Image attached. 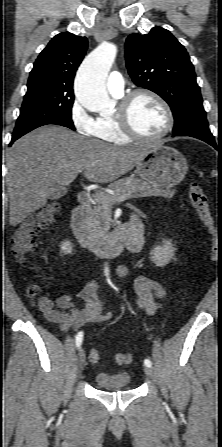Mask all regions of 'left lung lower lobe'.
I'll return each instance as SVG.
<instances>
[{"instance_id":"0a47b994","label":"left lung lower lobe","mask_w":222,"mask_h":447,"mask_svg":"<svg viewBox=\"0 0 222 447\" xmlns=\"http://www.w3.org/2000/svg\"><path fill=\"white\" fill-rule=\"evenodd\" d=\"M182 135L191 136V137H195V138H198L200 140H203V141L207 142L208 144L212 145L215 149L219 150V148L217 147V144H216L214 138H210L209 139V138H205V137H202V136L189 135V134H182Z\"/></svg>"}]
</instances>
